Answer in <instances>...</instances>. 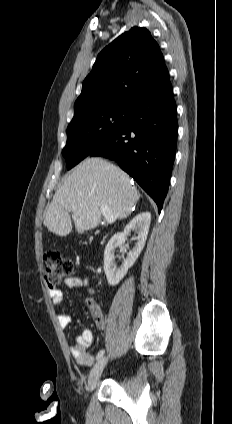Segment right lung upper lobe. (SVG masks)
<instances>
[{"label": "right lung upper lobe", "instance_id": "1", "mask_svg": "<svg viewBox=\"0 0 232 424\" xmlns=\"http://www.w3.org/2000/svg\"><path fill=\"white\" fill-rule=\"evenodd\" d=\"M159 45L145 28L133 27L97 56L82 84L74 116L100 105L132 106L168 75Z\"/></svg>", "mask_w": 232, "mask_h": 424}]
</instances>
